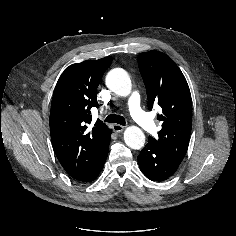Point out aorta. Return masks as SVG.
<instances>
[{"instance_id":"obj_1","label":"aorta","mask_w":236,"mask_h":236,"mask_svg":"<svg viewBox=\"0 0 236 236\" xmlns=\"http://www.w3.org/2000/svg\"><path fill=\"white\" fill-rule=\"evenodd\" d=\"M106 85L110 90L121 96H127L132 87L128 73L121 68H115L108 72ZM124 141L128 147L139 150L145 144V135L137 126H130L124 132Z\"/></svg>"}]
</instances>
